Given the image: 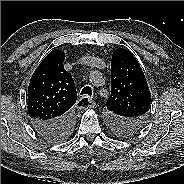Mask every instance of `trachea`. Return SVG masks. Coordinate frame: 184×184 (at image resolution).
<instances>
[{
  "label": "trachea",
  "instance_id": "3493384b",
  "mask_svg": "<svg viewBox=\"0 0 184 184\" xmlns=\"http://www.w3.org/2000/svg\"><path fill=\"white\" fill-rule=\"evenodd\" d=\"M80 95H89L91 97V95H92V89H91V87H89V86L84 87L82 89Z\"/></svg>",
  "mask_w": 184,
  "mask_h": 184
}]
</instances>
